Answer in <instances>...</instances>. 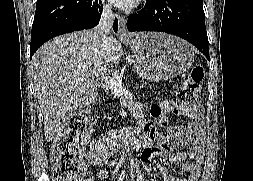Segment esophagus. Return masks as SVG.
Listing matches in <instances>:
<instances>
[{
  "mask_svg": "<svg viewBox=\"0 0 253 181\" xmlns=\"http://www.w3.org/2000/svg\"><path fill=\"white\" fill-rule=\"evenodd\" d=\"M119 30H118V36L119 38H127L129 34L127 33L126 29V19L123 15H119Z\"/></svg>",
  "mask_w": 253,
  "mask_h": 181,
  "instance_id": "obj_1",
  "label": "esophagus"
}]
</instances>
